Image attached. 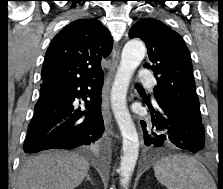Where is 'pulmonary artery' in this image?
<instances>
[{
  "label": "pulmonary artery",
  "mask_w": 223,
  "mask_h": 189,
  "mask_svg": "<svg viewBox=\"0 0 223 189\" xmlns=\"http://www.w3.org/2000/svg\"><path fill=\"white\" fill-rule=\"evenodd\" d=\"M138 77L143 82H148L150 85L154 84L153 76H152L151 72H149L147 70L140 71Z\"/></svg>",
  "instance_id": "1"
}]
</instances>
